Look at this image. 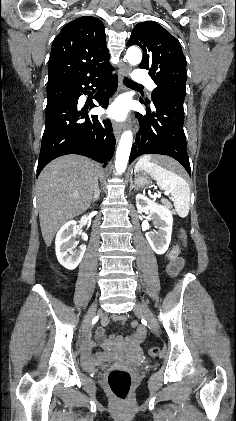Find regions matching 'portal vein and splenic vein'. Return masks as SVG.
Wrapping results in <instances>:
<instances>
[{
  "mask_svg": "<svg viewBox=\"0 0 236 421\" xmlns=\"http://www.w3.org/2000/svg\"><path fill=\"white\" fill-rule=\"evenodd\" d=\"M161 192H159V196H160ZM166 197H169V194L165 193ZM73 196H75V198H77L78 194H73Z\"/></svg>",
  "mask_w": 236,
  "mask_h": 421,
  "instance_id": "18ae733b",
  "label": "portal vein and splenic vein"
}]
</instances>
